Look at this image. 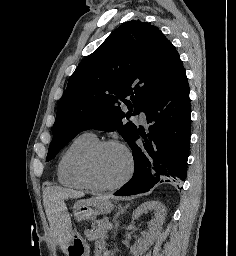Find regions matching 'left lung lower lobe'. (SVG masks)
Here are the masks:
<instances>
[{
  "label": "left lung lower lobe",
  "instance_id": "0a47b994",
  "mask_svg": "<svg viewBox=\"0 0 236 256\" xmlns=\"http://www.w3.org/2000/svg\"><path fill=\"white\" fill-rule=\"evenodd\" d=\"M148 132L137 129L129 145L134 156L132 179L116 196L148 192L163 182L184 181L190 147L189 86L184 68L143 106ZM143 138V145L136 143Z\"/></svg>",
  "mask_w": 236,
  "mask_h": 256
}]
</instances>
